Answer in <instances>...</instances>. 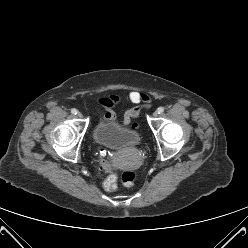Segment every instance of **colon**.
Returning a JSON list of instances; mask_svg holds the SVG:
<instances>
[{
    "label": "colon",
    "mask_w": 248,
    "mask_h": 248,
    "mask_svg": "<svg viewBox=\"0 0 248 248\" xmlns=\"http://www.w3.org/2000/svg\"><path fill=\"white\" fill-rule=\"evenodd\" d=\"M100 157H101V162H102L103 168L107 171H110L112 168L111 159L108 158L104 152H100ZM136 178H137L136 172H134L132 170H127L122 174L121 180H122V183L126 187H130L135 183ZM103 187L108 192H112V191L116 190V188H117V176L115 174H111L103 183Z\"/></svg>",
    "instance_id": "5ec220e1"
}]
</instances>
